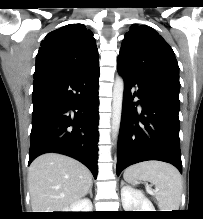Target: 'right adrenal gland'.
I'll return each mask as SVG.
<instances>
[{
    "label": "right adrenal gland",
    "mask_w": 203,
    "mask_h": 219,
    "mask_svg": "<svg viewBox=\"0 0 203 219\" xmlns=\"http://www.w3.org/2000/svg\"><path fill=\"white\" fill-rule=\"evenodd\" d=\"M92 187H93V183L91 184V186H90L88 192L86 193V195H87V194H90V197H91V198H93Z\"/></svg>",
    "instance_id": "1"
}]
</instances>
